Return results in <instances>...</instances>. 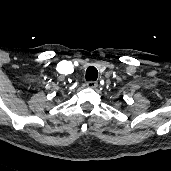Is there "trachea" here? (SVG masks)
<instances>
[{
    "mask_svg": "<svg viewBox=\"0 0 171 171\" xmlns=\"http://www.w3.org/2000/svg\"><path fill=\"white\" fill-rule=\"evenodd\" d=\"M85 77L87 81H91V80L96 81L98 77V70L93 66L88 67L86 70Z\"/></svg>",
    "mask_w": 171,
    "mask_h": 171,
    "instance_id": "1",
    "label": "trachea"
}]
</instances>
